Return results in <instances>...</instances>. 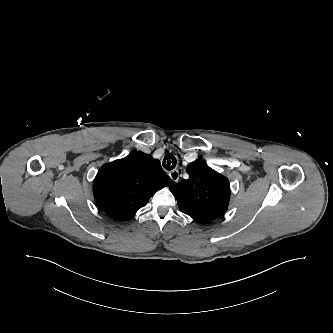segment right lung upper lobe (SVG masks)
<instances>
[{
	"label": "right lung upper lobe",
	"instance_id": "cb5924a9",
	"mask_svg": "<svg viewBox=\"0 0 333 333\" xmlns=\"http://www.w3.org/2000/svg\"><path fill=\"white\" fill-rule=\"evenodd\" d=\"M161 163L133 151L123 159L104 164L93 184L97 206L116 220H128L159 189L171 185Z\"/></svg>",
	"mask_w": 333,
	"mask_h": 333
}]
</instances>
